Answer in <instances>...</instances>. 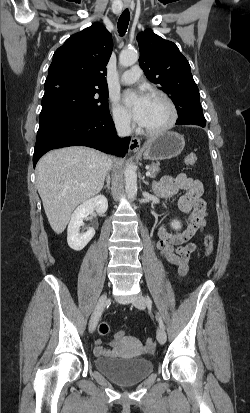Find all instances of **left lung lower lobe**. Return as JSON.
Masks as SVG:
<instances>
[{"label": "left lung lower lobe", "mask_w": 250, "mask_h": 413, "mask_svg": "<svg viewBox=\"0 0 250 413\" xmlns=\"http://www.w3.org/2000/svg\"><path fill=\"white\" fill-rule=\"evenodd\" d=\"M201 105V104H200ZM179 118L176 121V125H199L205 127L206 120L203 115L202 108H197L192 110L191 108H179L178 110Z\"/></svg>", "instance_id": "left-lung-lower-lobe-1"}]
</instances>
